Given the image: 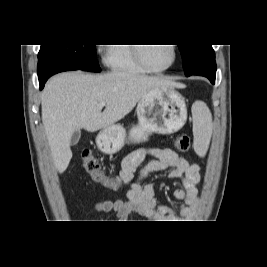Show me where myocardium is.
<instances>
[{
  "label": "myocardium",
  "instance_id": "1",
  "mask_svg": "<svg viewBox=\"0 0 267 267\" xmlns=\"http://www.w3.org/2000/svg\"><path fill=\"white\" fill-rule=\"evenodd\" d=\"M170 45H171L172 52H173V58L170 64H168L167 66L163 68H154L146 61L144 54H143L144 46H142V44H135V46L133 47L134 55L138 63L142 65L145 69H147V71L154 72V73L165 72L169 70L170 68H172L177 60V48H176L177 46H175L174 44H170Z\"/></svg>",
  "mask_w": 267,
  "mask_h": 267
}]
</instances>
